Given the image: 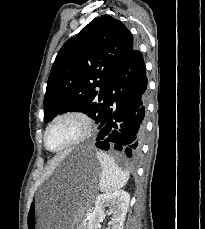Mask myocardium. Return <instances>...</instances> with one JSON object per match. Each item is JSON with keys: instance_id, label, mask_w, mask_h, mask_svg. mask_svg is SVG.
Wrapping results in <instances>:
<instances>
[{"instance_id": "1", "label": "myocardium", "mask_w": 205, "mask_h": 229, "mask_svg": "<svg viewBox=\"0 0 205 229\" xmlns=\"http://www.w3.org/2000/svg\"><path fill=\"white\" fill-rule=\"evenodd\" d=\"M65 119L76 120L79 123L80 128H81L80 133L78 134L76 138H74L72 141L68 142L67 144H65L62 147H59L57 149L49 148L47 144V135H48L49 130L57 122L61 120H65ZM92 128H93L92 119L90 118V116L87 113L80 111V110H67V111H64L56 115L46 126L44 134H43V144L45 148L50 152H53V153L61 152V151L70 149L84 142L91 135Z\"/></svg>"}]
</instances>
